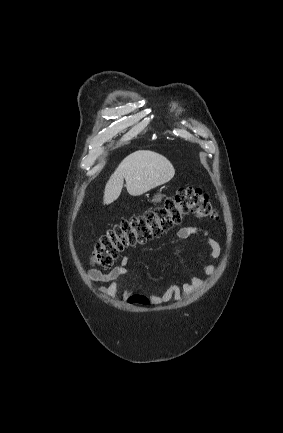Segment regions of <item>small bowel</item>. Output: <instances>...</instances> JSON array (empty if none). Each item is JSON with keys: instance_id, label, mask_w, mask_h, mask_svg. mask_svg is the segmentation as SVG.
I'll use <instances>...</instances> for the list:
<instances>
[{"instance_id": "1", "label": "small bowel", "mask_w": 283, "mask_h": 433, "mask_svg": "<svg viewBox=\"0 0 283 433\" xmlns=\"http://www.w3.org/2000/svg\"><path fill=\"white\" fill-rule=\"evenodd\" d=\"M193 237L201 239L210 249V259H216L221 253V246L217 240L210 234V232L199 226H185L180 228L176 232V238L179 240H187ZM129 264V258L124 256L119 265L115 266L108 272H102L97 269L89 270L87 277L90 281L103 282L106 285L101 286L99 291L110 297L116 298L118 292V281L127 275V266ZM215 271V267L211 264H206L202 268V272L205 275H212ZM203 280L199 276H192L189 280L183 282L180 285H171L164 292L160 294H147L145 297L148 302L156 305L167 304L170 301L178 302L183 296L190 295L201 288ZM125 297L133 296V293L126 289L123 292Z\"/></svg>"}]
</instances>
